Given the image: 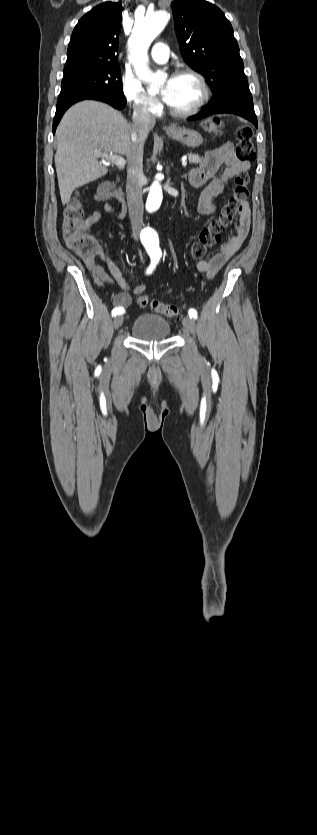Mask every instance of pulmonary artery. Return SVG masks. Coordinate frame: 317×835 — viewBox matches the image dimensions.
<instances>
[{
	"instance_id": "pulmonary-artery-1",
	"label": "pulmonary artery",
	"mask_w": 317,
	"mask_h": 835,
	"mask_svg": "<svg viewBox=\"0 0 317 835\" xmlns=\"http://www.w3.org/2000/svg\"><path fill=\"white\" fill-rule=\"evenodd\" d=\"M151 58L158 63H165L169 58V48L163 42L154 44L151 50Z\"/></svg>"
}]
</instances>
